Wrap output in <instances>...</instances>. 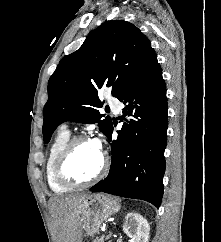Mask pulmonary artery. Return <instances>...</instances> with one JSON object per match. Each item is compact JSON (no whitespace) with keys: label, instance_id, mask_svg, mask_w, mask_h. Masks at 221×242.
I'll return each instance as SVG.
<instances>
[{"label":"pulmonary artery","instance_id":"obj_1","mask_svg":"<svg viewBox=\"0 0 221 242\" xmlns=\"http://www.w3.org/2000/svg\"><path fill=\"white\" fill-rule=\"evenodd\" d=\"M109 105L116 113H118L121 109V104L116 99L109 100ZM61 130L68 131L67 126L62 125Z\"/></svg>","mask_w":221,"mask_h":242}]
</instances>
